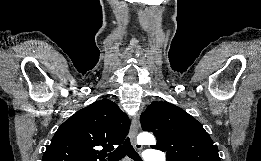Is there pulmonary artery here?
<instances>
[{
  "instance_id": "e3ab8cb5",
  "label": "pulmonary artery",
  "mask_w": 261,
  "mask_h": 161,
  "mask_svg": "<svg viewBox=\"0 0 261 161\" xmlns=\"http://www.w3.org/2000/svg\"><path fill=\"white\" fill-rule=\"evenodd\" d=\"M143 158L145 161H166V158L163 156L161 158L155 157L154 155H152L149 152H145L143 154Z\"/></svg>"
}]
</instances>
